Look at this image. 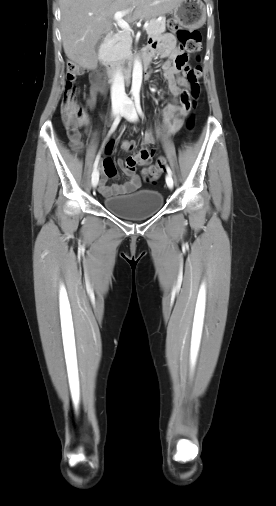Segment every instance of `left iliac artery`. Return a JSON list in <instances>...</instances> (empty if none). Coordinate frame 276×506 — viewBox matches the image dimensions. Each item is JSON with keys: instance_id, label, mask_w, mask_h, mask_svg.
<instances>
[{"instance_id": "44dca946", "label": "left iliac artery", "mask_w": 276, "mask_h": 506, "mask_svg": "<svg viewBox=\"0 0 276 506\" xmlns=\"http://www.w3.org/2000/svg\"><path fill=\"white\" fill-rule=\"evenodd\" d=\"M134 100H135V106H136L137 112L139 113V115L142 118H144V114L142 112L141 105H140V95L138 93L134 95ZM166 170L169 175H172V171H171L170 167L167 166Z\"/></svg>"}]
</instances>
